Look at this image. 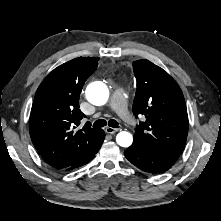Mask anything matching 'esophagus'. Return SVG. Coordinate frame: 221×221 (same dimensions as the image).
Instances as JSON below:
<instances>
[{
	"mask_svg": "<svg viewBox=\"0 0 221 221\" xmlns=\"http://www.w3.org/2000/svg\"><path fill=\"white\" fill-rule=\"evenodd\" d=\"M118 131H119V129L112 128V127H106V128H105V132H106L107 134H115V133L118 132Z\"/></svg>",
	"mask_w": 221,
	"mask_h": 221,
	"instance_id": "1",
	"label": "esophagus"
}]
</instances>
